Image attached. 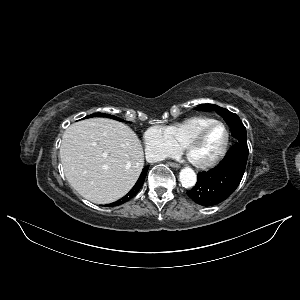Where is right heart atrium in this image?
Here are the masks:
<instances>
[{"instance_id":"1","label":"right heart atrium","mask_w":300,"mask_h":300,"mask_svg":"<svg viewBox=\"0 0 300 300\" xmlns=\"http://www.w3.org/2000/svg\"><path fill=\"white\" fill-rule=\"evenodd\" d=\"M143 142L146 157L152 162L175 157L179 152V148L169 140L162 127L159 126L148 128L144 132Z\"/></svg>"}]
</instances>
